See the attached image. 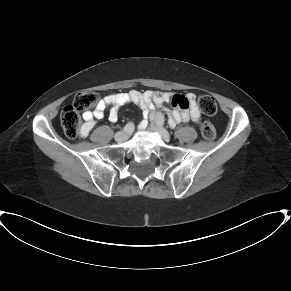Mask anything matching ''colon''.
Masks as SVG:
<instances>
[{"mask_svg": "<svg viewBox=\"0 0 291 291\" xmlns=\"http://www.w3.org/2000/svg\"><path fill=\"white\" fill-rule=\"evenodd\" d=\"M100 100L99 94L94 90H84L78 92L71 105L65 107L60 114V123L68 138L74 139L80 136L81 118L80 114L89 111ZM198 104L202 111L208 115H214L217 112V104L210 95H202L198 99ZM176 107V102H172ZM184 104L183 108H187ZM201 133L204 139H214L216 132L214 126L208 121L201 122Z\"/></svg>", "mask_w": 291, "mask_h": 291, "instance_id": "obj_1", "label": "colon"}]
</instances>
